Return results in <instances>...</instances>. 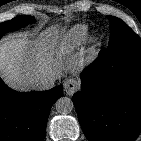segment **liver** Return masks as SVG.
<instances>
[{
  "instance_id": "6515ba94",
  "label": "liver",
  "mask_w": 141,
  "mask_h": 141,
  "mask_svg": "<svg viewBox=\"0 0 141 141\" xmlns=\"http://www.w3.org/2000/svg\"><path fill=\"white\" fill-rule=\"evenodd\" d=\"M57 32L48 28L38 37L18 34L0 43V76L11 88L19 91L35 89L34 82L46 75L60 76L51 47Z\"/></svg>"
}]
</instances>
